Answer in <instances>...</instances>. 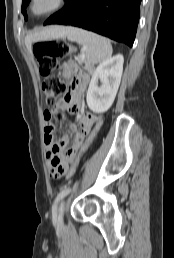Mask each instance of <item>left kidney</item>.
I'll return each instance as SVG.
<instances>
[{
	"label": "left kidney",
	"instance_id": "obj_1",
	"mask_svg": "<svg viewBox=\"0 0 174 258\" xmlns=\"http://www.w3.org/2000/svg\"><path fill=\"white\" fill-rule=\"evenodd\" d=\"M123 61L122 55H116L100 63L93 72L86 101L94 113H104L113 104L121 81ZM99 80L101 86H98Z\"/></svg>",
	"mask_w": 174,
	"mask_h": 258
}]
</instances>
